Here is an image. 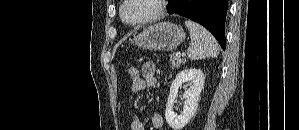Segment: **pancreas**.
Instances as JSON below:
<instances>
[{"label": "pancreas", "instance_id": "pancreas-1", "mask_svg": "<svg viewBox=\"0 0 299 130\" xmlns=\"http://www.w3.org/2000/svg\"><path fill=\"white\" fill-rule=\"evenodd\" d=\"M170 62H171V68L175 69V68H179L181 64L185 63V60L181 59L175 54H172L170 57Z\"/></svg>", "mask_w": 299, "mask_h": 130}]
</instances>
